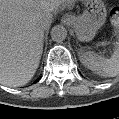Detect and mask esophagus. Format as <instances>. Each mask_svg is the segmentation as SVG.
<instances>
[{
    "label": "esophagus",
    "instance_id": "1",
    "mask_svg": "<svg viewBox=\"0 0 119 119\" xmlns=\"http://www.w3.org/2000/svg\"><path fill=\"white\" fill-rule=\"evenodd\" d=\"M66 19L70 20V17H66Z\"/></svg>",
    "mask_w": 119,
    "mask_h": 119
}]
</instances>
